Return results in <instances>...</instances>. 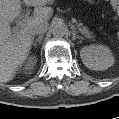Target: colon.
I'll return each instance as SVG.
<instances>
[{"label": "colon", "mask_w": 119, "mask_h": 119, "mask_svg": "<svg viewBox=\"0 0 119 119\" xmlns=\"http://www.w3.org/2000/svg\"><path fill=\"white\" fill-rule=\"evenodd\" d=\"M110 5L113 8V10L118 13L119 11V2L117 0H111Z\"/></svg>", "instance_id": "1"}]
</instances>
